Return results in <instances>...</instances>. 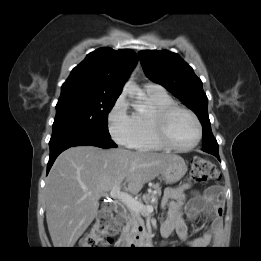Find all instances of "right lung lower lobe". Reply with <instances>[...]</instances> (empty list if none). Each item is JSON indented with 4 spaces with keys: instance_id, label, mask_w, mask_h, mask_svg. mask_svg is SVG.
<instances>
[{
    "instance_id": "1",
    "label": "right lung lower lobe",
    "mask_w": 261,
    "mask_h": 261,
    "mask_svg": "<svg viewBox=\"0 0 261 261\" xmlns=\"http://www.w3.org/2000/svg\"><path fill=\"white\" fill-rule=\"evenodd\" d=\"M74 146H97L104 149L117 147L110 136L90 131H78L52 136L49 142L50 158L47 165V173L57 156L62 151Z\"/></svg>"
}]
</instances>
